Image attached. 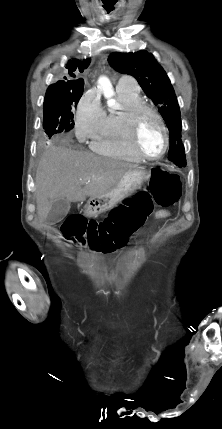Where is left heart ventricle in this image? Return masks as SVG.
Returning a JSON list of instances; mask_svg holds the SVG:
<instances>
[{"label": "left heart ventricle", "mask_w": 222, "mask_h": 429, "mask_svg": "<svg viewBox=\"0 0 222 429\" xmlns=\"http://www.w3.org/2000/svg\"><path fill=\"white\" fill-rule=\"evenodd\" d=\"M138 142L144 153L156 156L164 148V136L161 127L154 116L144 114L139 123Z\"/></svg>", "instance_id": "b2bd125f"}]
</instances>
